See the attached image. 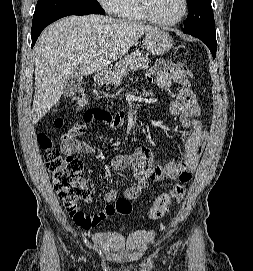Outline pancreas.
<instances>
[{
	"label": "pancreas",
	"instance_id": "1",
	"mask_svg": "<svg viewBox=\"0 0 253 271\" xmlns=\"http://www.w3.org/2000/svg\"><path fill=\"white\" fill-rule=\"evenodd\" d=\"M148 56L135 51L121 59L115 66V70L112 73V83L114 85H120L122 79L126 77L131 70L147 69L149 67Z\"/></svg>",
	"mask_w": 253,
	"mask_h": 271
}]
</instances>
